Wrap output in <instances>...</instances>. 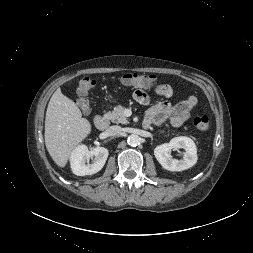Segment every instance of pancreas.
<instances>
[{"instance_id": "pancreas-1", "label": "pancreas", "mask_w": 253, "mask_h": 253, "mask_svg": "<svg viewBox=\"0 0 253 253\" xmlns=\"http://www.w3.org/2000/svg\"><path fill=\"white\" fill-rule=\"evenodd\" d=\"M125 107L122 105H118L114 108L112 112H109L105 115V117L108 120H111L112 122L115 123H121V124H127L128 120L124 115Z\"/></svg>"}]
</instances>
